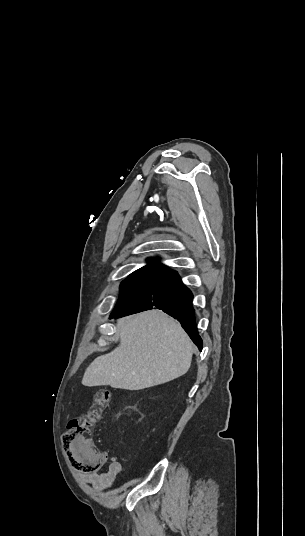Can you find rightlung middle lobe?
<instances>
[{"mask_svg": "<svg viewBox=\"0 0 305 536\" xmlns=\"http://www.w3.org/2000/svg\"><path fill=\"white\" fill-rule=\"evenodd\" d=\"M164 279L158 277H128L120 285L119 300L112 314L118 313L129 307L139 298L151 291Z\"/></svg>", "mask_w": 305, "mask_h": 536, "instance_id": "obj_1", "label": "right lung middle lobe"}]
</instances>
